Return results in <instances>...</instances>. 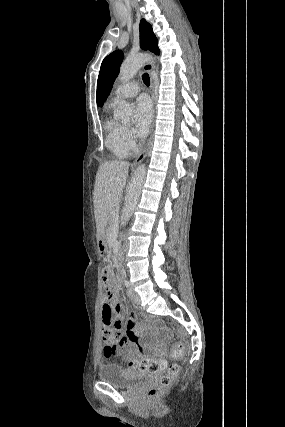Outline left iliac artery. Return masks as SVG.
I'll use <instances>...</instances> for the list:
<instances>
[{
  "mask_svg": "<svg viewBox=\"0 0 285 427\" xmlns=\"http://www.w3.org/2000/svg\"><path fill=\"white\" fill-rule=\"evenodd\" d=\"M123 284H124V286H125V287H127V288H128V287H130V283H129V281H127L126 279H124V280H123Z\"/></svg>",
  "mask_w": 285,
  "mask_h": 427,
  "instance_id": "obj_1",
  "label": "left iliac artery"
}]
</instances>
